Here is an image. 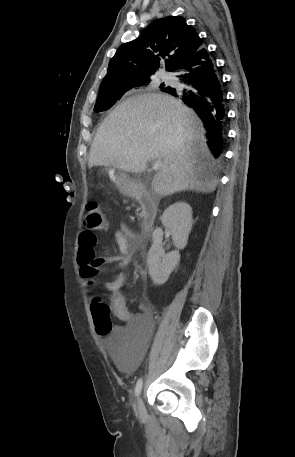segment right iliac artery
<instances>
[{
	"label": "right iliac artery",
	"instance_id": "1",
	"mask_svg": "<svg viewBox=\"0 0 295 457\" xmlns=\"http://www.w3.org/2000/svg\"><path fill=\"white\" fill-rule=\"evenodd\" d=\"M142 385H143V381H142V379H139L137 381V384H136V387H135V395L136 396H139V394H140V392L142 390Z\"/></svg>",
	"mask_w": 295,
	"mask_h": 457
}]
</instances>
